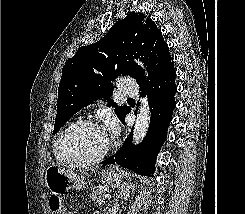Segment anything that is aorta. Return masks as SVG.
<instances>
[{
  "label": "aorta",
  "instance_id": "aorta-1",
  "mask_svg": "<svg viewBox=\"0 0 245 214\" xmlns=\"http://www.w3.org/2000/svg\"><path fill=\"white\" fill-rule=\"evenodd\" d=\"M142 67L143 65L140 64ZM149 105L146 97L141 101V105L138 110L137 118L135 121L134 132H133V143H140L145 137L149 127Z\"/></svg>",
  "mask_w": 245,
  "mask_h": 214
}]
</instances>
